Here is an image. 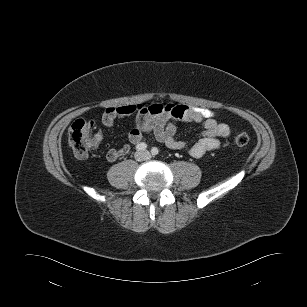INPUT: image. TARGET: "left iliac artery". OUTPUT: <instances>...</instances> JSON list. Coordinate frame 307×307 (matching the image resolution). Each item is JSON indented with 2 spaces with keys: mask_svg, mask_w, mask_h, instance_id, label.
Wrapping results in <instances>:
<instances>
[{
  "mask_svg": "<svg viewBox=\"0 0 307 307\" xmlns=\"http://www.w3.org/2000/svg\"><path fill=\"white\" fill-rule=\"evenodd\" d=\"M151 153H152V155L156 156V155L159 153L158 148L153 147V148L151 149Z\"/></svg>",
  "mask_w": 307,
  "mask_h": 307,
  "instance_id": "left-iliac-artery-1",
  "label": "left iliac artery"
}]
</instances>
